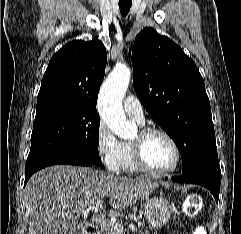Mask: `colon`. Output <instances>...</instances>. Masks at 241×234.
Returning <instances> with one entry per match:
<instances>
[{
  "instance_id": "5ec220e1",
  "label": "colon",
  "mask_w": 241,
  "mask_h": 234,
  "mask_svg": "<svg viewBox=\"0 0 241 234\" xmlns=\"http://www.w3.org/2000/svg\"><path fill=\"white\" fill-rule=\"evenodd\" d=\"M184 212L187 217L195 218L201 210V198L198 194H192L184 203ZM193 234H203L202 228H197Z\"/></svg>"
}]
</instances>
